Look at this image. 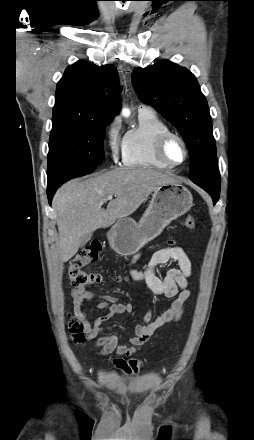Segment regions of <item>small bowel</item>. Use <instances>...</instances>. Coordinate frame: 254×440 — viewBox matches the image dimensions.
<instances>
[{
    "instance_id": "small-bowel-1",
    "label": "small bowel",
    "mask_w": 254,
    "mask_h": 440,
    "mask_svg": "<svg viewBox=\"0 0 254 440\" xmlns=\"http://www.w3.org/2000/svg\"><path fill=\"white\" fill-rule=\"evenodd\" d=\"M136 255L132 263L139 259ZM175 261L178 268H173L161 277L157 273L159 265ZM130 277L134 281L143 282L146 288L154 296H165L174 298L170 307L160 316L153 319L152 312L148 311L143 316V322L134 328V335L127 343L119 344L118 338L112 334H105L110 328L106 323L117 315L132 313L133 306L130 303H121L118 298L111 295H101L90 292L86 287H74L71 290L72 303L78 317L84 322L85 332L88 340H94L93 347L98 349L100 356H107L115 353L118 356H130L137 352L139 347L144 345L154 333L170 322L178 321L185 307V302L190 296L187 289L188 278L191 275V262L179 246H167L155 251L148 265L143 269L131 268ZM86 301L94 302L91 308H84ZM96 313L93 324L88 321V314ZM115 365L125 373H137L141 363L138 360L125 361L117 359ZM136 367L130 368V365Z\"/></svg>"
}]
</instances>
